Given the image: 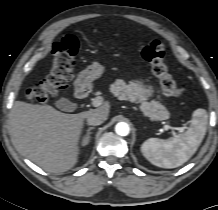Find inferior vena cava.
I'll use <instances>...</instances> for the list:
<instances>
[{
  "mask_svg": "<svg viewBox=\"0 0 218 210\" xmlns=\"http://www.w3.org/2000/svg\"><path fill=\"white\" fill-rule=\"evenodd\" d=\"M105 121V119L97 114V113H92L90 114L88 117H87V123L89 125H93V126H97V125H100L102 124L103 122Z\"/></svg>",
  "mask_w": 218,
  "mask_h": 210,
  "instance_id": "1",
  "label": "inferior vena cava"
}]
</instances>
